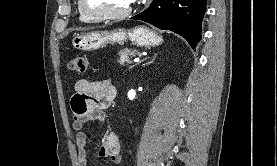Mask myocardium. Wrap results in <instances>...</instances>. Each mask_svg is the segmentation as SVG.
I'll use <instances>...</instances> for the list:
<instances>
[{
    "label": "myocardium",
    "mask_w": 277,
    "mask_h": 166,
    "mask_svg": "<svg viewBox=\"0 0 277 166\" xmlns=\"http://www.w3.org/2000/svg\"><path fill=\"white\" fill-rule=\"evenodd\" d=\"M137 0H134L132 5L125 11L121 13H95L87 9L85 5V0H78L79 10L88 18L95 20V21H118L123 20L129 17L135 7H136Z\"/></svg>",
    "instance_id": "f54148a6"
}]
</instances>
